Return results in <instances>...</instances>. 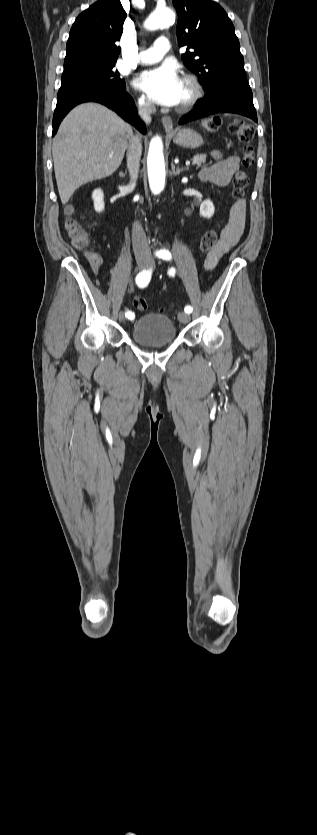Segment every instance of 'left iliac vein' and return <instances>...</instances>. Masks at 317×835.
<instances>
[{"instance_id":"left-iliac-vein-1","label":"left iliac vein","mask_w":317,"mask_h":835,"mask_svg":"<svg viewBox=\"0 0 317 835\" xmlns=\"http://www.w3.org/2000/svg\"><path fill=\"white\" fill-rule=\"evenodd\" d=\"M178 319H179V321H180V322H182V323H188V322L190 321V316H189V314H188V313H186V312H180V313L178 314Z\"/></svg>"}]
</instances>
